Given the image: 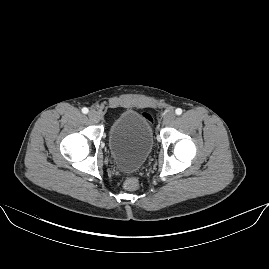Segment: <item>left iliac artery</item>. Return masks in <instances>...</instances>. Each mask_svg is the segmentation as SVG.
Instances as JSON below:
<instances>
[{"label":"left iliac artery","mask_w":269,"mask_h":269,"mask_svg":"<svg viewBox=\"0 0 269 269\" xmlns=\"http://www.w3.org/2000/svg\"><path fill=\"white\" fill-rule=\"evenodd\" d=\"M175 113H176L177 115H181V114H182V109L177 108V109L175 110Z\"/></svg>","instance_id":"44dca946"}]
</instances>
